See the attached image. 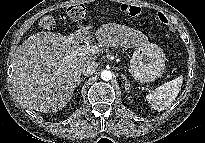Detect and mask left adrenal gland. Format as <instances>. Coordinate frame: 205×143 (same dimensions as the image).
Here are the masks:
<instances>
[{"label":"left adrenal gland","mask_w":205,"mask_h":143,"mask_svg":"<svg viewBox=\"0 0 205 143\" xmlns=\"http://www.w3.org/2000/svg\"><path fill=\"white\" fill-rule=\"evenodd\" d=\"M121 77L125 80L124 87H125L126 92H129V91H130V89H129L130 83H129V81H128L126 75L121 74Z\"/></svg>","instance_id":"left-adrenal-gland-1"}]
</instances>
